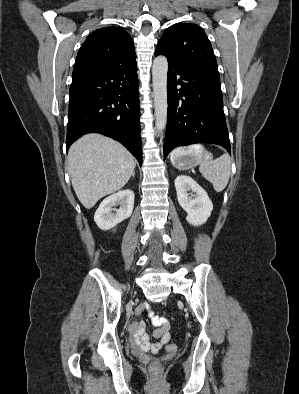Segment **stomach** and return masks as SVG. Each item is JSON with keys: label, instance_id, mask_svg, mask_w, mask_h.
Listing matches in <instances>:
<instances>
[{"label": "stomach", "instance_id": "obj_1", "mask_svg": "<svg viewBox=\"0 0 299 394\" xmlns=\"http://www.w3.org/2000/svg\"><path fill=\"white\" fill-rule=\"evenodd\" d=\"M202 159V151L200 149L190 151L179 149L171 156V163L174 167L185 170L196 166Z\"/></svg>", "mask_w": 299, "mask_h": 394}]
</instances>
